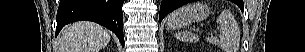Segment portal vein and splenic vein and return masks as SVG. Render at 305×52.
<instances>
[{
  "label": "portal vein and splenic vein",
  "mask_w": 305,
  "mask_h": 52,
  "mask_svg": "<svg viewBox=\"0 0 305 52\" xmlns=\"http://www.w3.org/2000/svg\"><path fill=\"white\" fill-rule=\"evenodd\" d=\"M195 31H196V32H199V29H196ZM214 33H216V31H214Z\"/></svg>",
  "instance_id": "obj_1"
}]
</instances>
